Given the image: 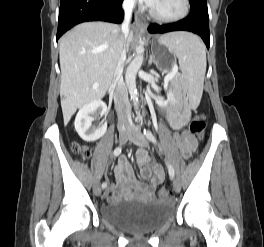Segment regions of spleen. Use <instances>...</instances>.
<instances>
[{"mask_svg":"<svg viewBox=\"0 0 264 247\" xmlns=\"http://www.w3.org/2000/svg\"><path fill=\"white\" fill-rule=\"evenodd\" d=\"M163 43L176 55L190 98L199 102L206 73V50L199 37L178 32L163 37Z\"/></svg>","mask_w":264,"mask_h":247,"instance_id":"spleen-1","label":"spleen"}]
</instances>
